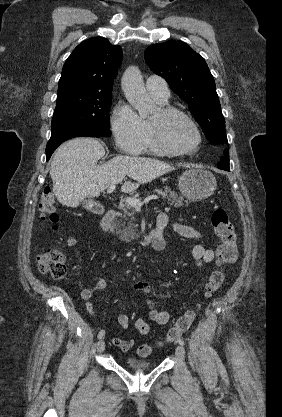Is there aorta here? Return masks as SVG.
I'll return each mask as SVG.
<instances>
[{"label":"aorta","mask_w":282,"mask_h":417,"mask_svg":"<svg viewBox=\"0 0 282 417\" xmlns=\"http://www.w3.org/2000/svg\"><path fill=\"white\" fill-rule=\"evenodd\" d=\"M121 82L128 102L137 108L141 118H148L149 114L155 110V104L144 86L143 76L138 66H128L123 72Z\"/></svg>","instance_id":"1"}]
</instances>
